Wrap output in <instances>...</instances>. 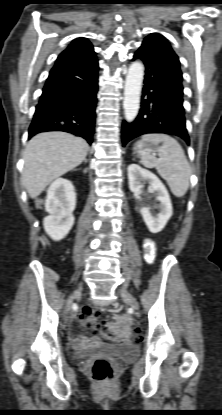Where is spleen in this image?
Returning a JSON list of instances; mask_svg holds the SVG:
<instances>
[{"label": "spleen", "instance_id": "3e777b00", "mask_svg": "<svg viewBox=\"0 0 222 415\" xmlns=\"http://www.w3.org/2000/svg\"><path fill=\"white\" fill-rule=\"evenodd\" d=\"M142 140L154 145L162 142L156 148L159 158H155L153 149H148L141 154V163L145 167L156 168L171 192L176 197H183L189 188L191 168L181 145L166 134H146Z\"/></svg>", "mask_w": 222, "mask_h": 415}]
</instances>
